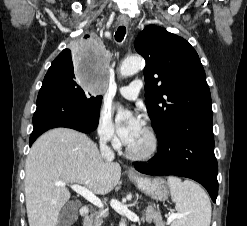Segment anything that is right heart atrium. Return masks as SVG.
<instances>
[{
  "instance_id": "d8ad5b80",
  "label": "right heart atrium",
  "mask_w": 247,
  "mask_h": 226,
  "mask_svg": "<svg viewBox=\"0 0 247 226\" xmlns=\"http://www.w3.org/2000/svg\"><path fill=\"white\" fill-rule=\"evenodd\" d=\"M96 130L99 139L112 146H117L119 141L115 132L112 116L107 107H102L97 118Z\"/></svg>"
}]
</instances>
